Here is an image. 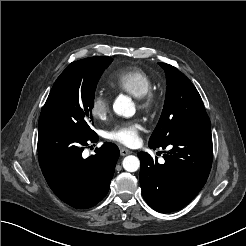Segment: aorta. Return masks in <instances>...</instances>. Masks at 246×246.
Masks as SVG:
<instances>
[{
    "instance_id": "aorta-1",
    "label": "aorta",
    "mask_w": 246,
    "mask_h": 246,
    "mask_svg": "<svg viewBox=\"0 0 246 246\" xmlns=\"http://www.w3.org/2000/svg\"><path fill=\"white\" fill-rule=\"evenodd\" d=\"M114 112L126 118L132 117L135 114V105L130 97L127 96H119L114 101L113 104ZM123 168L128 172H135L140 167V161L138 157L129 155L126 156L122 162Z\"/></svg>"
}]
</instances>
